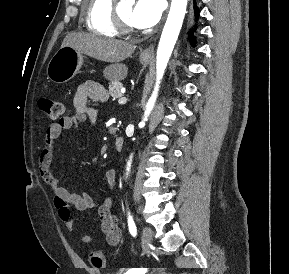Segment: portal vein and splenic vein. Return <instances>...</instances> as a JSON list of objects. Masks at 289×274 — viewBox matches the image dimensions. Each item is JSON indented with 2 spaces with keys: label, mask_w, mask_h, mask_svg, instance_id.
Here are the masks:
<instances>
[{
  "label": "portal vein and splenic vein",
  "mask_w": 289,
  "mask_h": 274,
  "mask_svg": "<svg viewBox=\"0 0 289 274\" xmlns=\"http://www.w3.org/2000/svg\"><path fill=\"white\" fill-rule=\"evenodd\" d=\"M126 102H127L126 97H122V96H121V97L119 98V100H118V103H119V104H125Z\"/></svg>",
  "instance_id": "1"
}]
</instances>
